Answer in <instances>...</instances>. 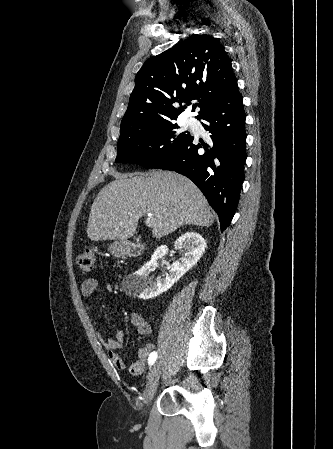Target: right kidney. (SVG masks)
Listing matches in <instances>:
<instances>
[{
  "instance_id": "ca27d5eb",
  "label": "right kidney",
  "mask_w": 333,
  "mask_h": 449,
  "mask_svg": "<svg viewBox=\"0 0 333 449\" xmlns=\"http://www.w3.org/2000/svg\"><path fill=\"white\" fill-rule=\"evenodd\" d=\"M175 247L185 248V254L172 264L165 277H159L156 281H152L149 278V274L157 266V260L165 256L168 252V248L165 245L157 248L151 256V260L136 272L135 282L138 297L144 300L151 299L170 289L200 260L206 248V241L197 232H187L176 240Z\"/></svg>"
}]
</instances>
